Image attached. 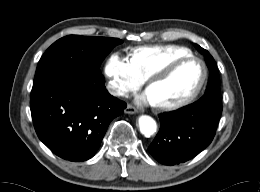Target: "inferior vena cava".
I'll return each mask as SVG.
<instances>
[{
  "label": "inferior vena cava",
  "mask_w": 260,
  "mask_h": 192,
  "mask_svg": "<svg viewBox=\"0 0 260 192\" xmlns=\"http://www.w3.org/2000/svg\"><path fill=\"white\" fill-rule=\"evenodd\" d=\"M107 89L109 93L113 96H125L127 93L122 90L118 85L115 83L113 84H108Z\"/></svg>",
  "instance_id": "inferior-vena-cava-1"
}]
</instances>
